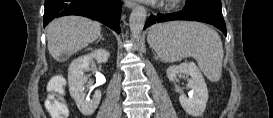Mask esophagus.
<instances>
[{"instance_id": "34e87169", "label": "esophagus", "mask_w": 273, "mask_h": 118, "mask_svg": "<svg viewBox=\"0 0 273 118\" xmlns=\"http://www.w3.org/2000/svg\"><path fill=\"white\" fill-rule=\"evenodd\" d=\"M124 5L128 8H134L137 5V2L131 0H125Z\"/></svg>"}]
</instances>
